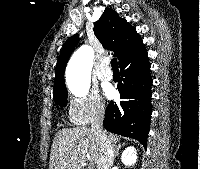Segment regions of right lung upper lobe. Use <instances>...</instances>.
Instances as JSON below:
<instances>
[{
	"label": "right lung upper lobe",
	"mask_w": 200,
	"mask_h": 169,
	"mask_svg": "<svg viewBox=\"0 0 200 169\" xmlns=\"http://www.w3.org/2000/svg\"><path fill=\"white\" fill-rule=\"evenodd\" d=\"M94 34L106 49L114 51L119 65L146 51L135 28L110 8L106 9L95 23ZM78 41L79 36L73 35L62 48L56 65L53 94L67 92L64 82L65 66Z\"/></svg>",
	"instance_id": "right-lung-upper-lobe-1"
}]
</instances>
